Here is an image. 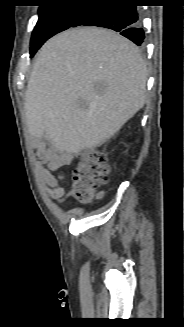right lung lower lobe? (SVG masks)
<instances>
[{"label": "right lung lower lobe", "mask_w": 184, "mask_h": 327, "mask_svg": "<svg viewBox=\"0 0 184 327\" xmlns=\"http://www.w3.org/2000/svg\"><path fill=\"white\" fill-rule=\"evenodd\" d=\"M124 0H96L76 21V26H97L119 32L137 45L144 41L139 12L134 5H124Z\"/></svg>", "instance_id": "1"}]
</instances>
